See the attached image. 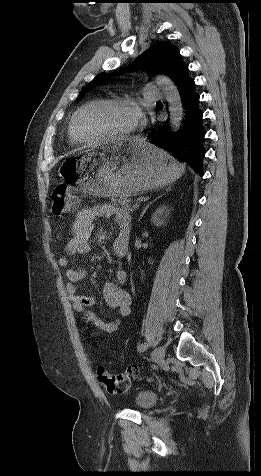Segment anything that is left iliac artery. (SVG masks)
<instances>
[{
  "label": "left iliac artery",
  "mask_w": 261,
  "mask_h": 476,
  "mask_svg": "<svg viewBox=\"0 0 261 476\" xmlns=\"http://www.w3.org/2000/svg\"><path fill=\"white\" fill-rule=\"evenodd\" d=\"M147 348H148V344H146V343L140 344V345L137 347L138 351H140V352L145 351Z\"/></svg>",
  "instance_id": "44dca946"
}]
</instances>
